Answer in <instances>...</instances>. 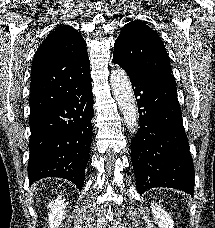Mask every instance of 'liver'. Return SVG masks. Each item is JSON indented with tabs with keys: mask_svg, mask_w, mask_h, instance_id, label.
Wrapping results in <instances>:
<instances>
[{
	"mask_svg": "<svg viewBox=\"0 0 215 228\" xmlns=\"http://www.w3.org/2000/svg\"><path fill=\"white\" fill-rule=\"evenodd\" d=\"M34 188V192H37L38 188H35V186H32Z\"/></svg>",
	"mask_w": 215,
	"mask_h": 228,
	"instance_id": "obj_1",
	"label": "liver"
}]
</instances>
